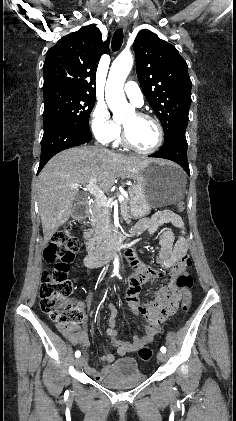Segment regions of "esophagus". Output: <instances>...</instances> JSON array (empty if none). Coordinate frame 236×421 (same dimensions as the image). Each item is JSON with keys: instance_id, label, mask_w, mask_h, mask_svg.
I'll list each match as a JSON object with an SVG mask.
<instances>
[{"instance_id": "34e87169", "label": "esophagus", "mask_w": 236, "mask_h": 421, "mask_svg": "<svg viewBox=\"0 0 236 421\" xmlns=\"http://www.w3.org/2000/svg\"><path fill=\"white\" fill-rule=\"evenodd\" d=\"M127 25H128V20H126V18H121L119 20V27L120 28L125 30L127 28Z\"/></svg>"}]
</instances>
